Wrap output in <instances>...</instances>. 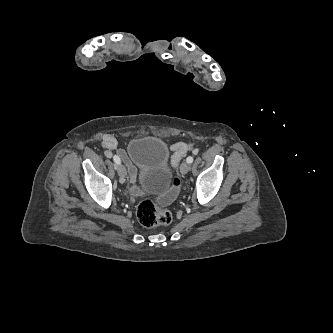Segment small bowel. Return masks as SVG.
Instances as JSON below:
<instances>
[{
  "mask_svg": "<svg viewBox=\"0 0 333 333\" xmlns=\"http://www.w3.org/2000/svg\"><path fill=\"white\" fill-rule=\"evenodd\" d=\"M102 146L106 149V155L110 156V151L116 150L118 154L124 159L129 168V174L132 182H135L136 170L133 164H131L123 151L118 148V142L113 135L106 134L102 137ZM170 149L174 151L172 157L169 160V165L172 168H176L180 161L187 155L189 151L192 150V145L185 141H178L170 146ZM197 149H193V152H196ZM175 183L178 184V180H175ZM133 191L137 192L136 187H133Z\"/></svg>",
  "mask_w": 333,
  "mask_h": 333,
  "instance_id": "small-bowel-1",
  "label": "small bowel"
}]
</instances>
